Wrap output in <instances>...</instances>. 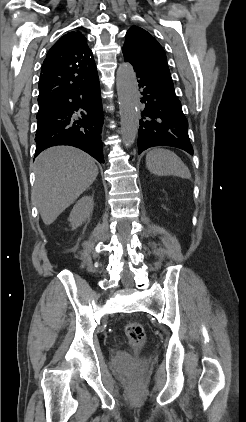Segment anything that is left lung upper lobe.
Wrapping results in <instances>:
<instances>
[{
	"instance_id": "1",
	"label": "left lung upper lobe",
	"mask_w": 246,
	"mask_h": 422,
	"mask_svg": "<svg viewBox=\"0 0 246 422\" xmlns=\"http://www.w3.org/2000/svg\"><path fill=\"white\" fill-rule=\"evenodd\" d=\"M125 37L122 49L124 59L130 62L134 68L175 92L166 55L158 41L138 26H132Z\"/></svg>"
}]
</instances>
